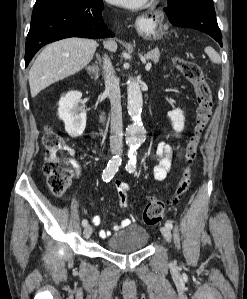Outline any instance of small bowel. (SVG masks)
<instances>
[{"instance_id":"c3829d8e","label":"small bowel","mask_w":247,"mask_h":299,"mask_svg":"<svg viewBox=\"0 0 247 299\" xmlns=\"http://www.w3.org/2000/svg\"><path fill=\"white\" fill-rule=\"evenodd\" d=\"M156 156L158 159V164L154 167L153 176L155 180L162 181L168 176L170 172L172 161L174 158V152L169 144L160 142L156 149ZM116 187L120 197V207L126 208L129 185L126 182H117ZM90 220L94 225H99L101 223V217L99 215L91 216ZM131 222V218H126L120 224L114 226V230H118L121 227L127 226L131 224ZM99 234L103 238L110 235L109 232L103 230L100 231Z\"/></svg>"}]
</instances>
